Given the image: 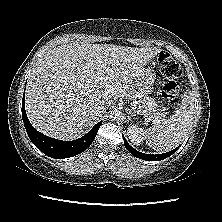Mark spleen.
<instances>
[{"label":"spleen","instance_id":"obj_1","mask_svg":"<svg viewBox=\"0 0 222 222\" xmlns=\"http://www.w3.org/2000/svg\"><path fill=\"white\" fill-rule=\"evenodd\" d=\"M194 113L193 93L186 90L175 114L146 130L148 145L156 151H170L180 145L192 127Z\"/></svg>","mask_w":222,"mask_h":222}]
</instances>
